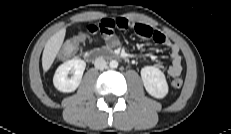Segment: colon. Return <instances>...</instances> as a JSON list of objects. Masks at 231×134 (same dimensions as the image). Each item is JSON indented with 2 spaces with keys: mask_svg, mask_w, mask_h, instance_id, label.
<instances>
[{
  "mask_svg": "<svg viewBox=\"0 0 231 134\" xmlns=\"http://www.w3.org/2000/svg\"><path fill=\"white\" fill-rule=\"evenodd\" d=\"M78 43H79L78 39H73L68 43H66L60 52V57L62 59H66L72 56L77 50ZM171 84L174 88L178 89L182 86L183 80L181 78H175L172 80Z\"/></svg>",
  "mask_w": 231,
  "mask_h": 134,
  "instance_id": "5ec220e1",
  "label": "colon"
}]
</instances>
